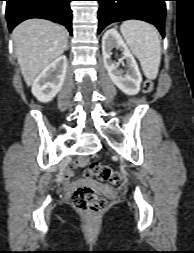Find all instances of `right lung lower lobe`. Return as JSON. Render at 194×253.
Returning a JSON list of instances; mask_svg holds the SVG:
<instances>
[{"label": "right lung lower lobe", "instance_id": "obj_1", "mask_svg": "<svg viewBox=\"0 0 194 253\" xmlns=\"http://www.w3.org/2000/svg\"><path fill=\"white\" fill-rule=\"evenodd\" d=\"M72 0H6V16L11 32L20 22L42 18L64 25L72 34Z\"/></svg>", "mask_w": 194, "mask_h": 253}]
</instances>
